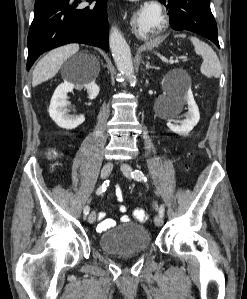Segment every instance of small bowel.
<instances>
[{"label":"small bowel","instance_id":"c3829d8e","mask_svg":"<svg viewBox=\"0 0 247 299\" xmlns=\"http://www.w3.org/2000/svg\"><path fill=\"white\" fill-rule=\"evenodd\" d=\"M116 199L118 201H122L123 200V195H119L117 192L115 193ZM119 211L124 213L126 212V207L124 205H120L119 206ZM98 220L99 223L97 225V231L98 232H104L112 227H114L116 225V221L114 219L111 218H107L106 214L104 212H99L98 213ZM129 220V217L126 215H123L121 217V221L123 222H127Z\"/></svg>","mask_w":247,"mask_h":299}]
</instances>
